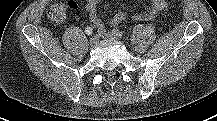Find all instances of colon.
I'll list each match as a JSON object with an SVG mask.
<instances>
[{
	"mask_svg": "<svg viewBox=\"0 0 217 121\" xmlns=\"http://www.w3.org/2000/svg\"><path fill=\"white\" fill-rule=\"evenodd\" d=\"M48 17L55 23H61L66 19L67 8L64 3H55L48 9Z\"/></svg>",
	"mask_w": 217,
	"mask_h": 121,
	"instance_id": "obj_1",
	"label": "colon"
}]
</instances>
